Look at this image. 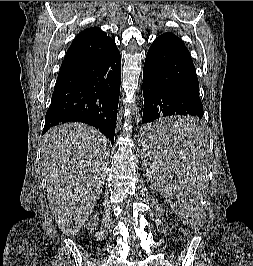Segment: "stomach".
<instances>
[{"mask_svg":"<svg viewBox=\"0 0 253 266\" xmlns=\"http://www.w3.org/2000/svg\"><path fill=\"white\" fill-rule=\"evenodd\" d=\"M142 138H146V136H143ZM201 139H202V135H201Z\"/></svg>","mask_w":253,"mask_h":266,"instance_id":"1","label":"stomach"}]
</instances>
